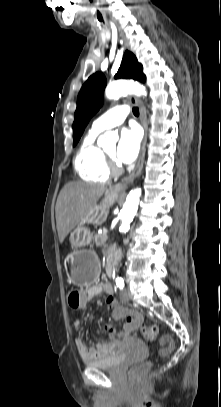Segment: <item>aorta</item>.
Instances as JSON below:
<instances>
[{
    "mask_svg": "<svg viewBox=\"0 0 221 407\" xmlns=\"http://www.w3.org/2000/svg\"><path fill=\"white\" fill-rule=\"evenodd\" d=\"M135 94L138 96H146L147 91L146 88L139 83L132 82V81H116L113 83H110L105 90V96L108 99H117L121 97L122 95L125 94ZM108 136V133H106L104 136H101L99 138L100 142L105 141V137ZM140 196H141V189L136 188L134 190H131L129 194L127 195L126 201L123 205L122 210L120 211V218H121V225L119 228L120 232H127L130 228V223L132 222L134 216L136 215V212L138 210V205L140 202Z\"/></svg>",
    "mask_w": 221,
    "mask_h": 407,
    "instance_id": "762f6f07",
    "label": "aorta"
}]
</instances>
